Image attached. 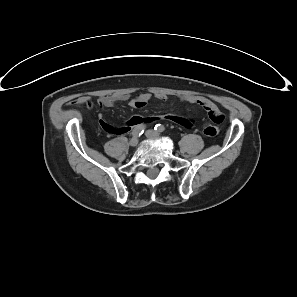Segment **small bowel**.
<instances>
[{"label":"small bowel","mask_w":297,"mask_h":297,"mask_svg":"<svg viewBox=\"0 0 297 297\" xmlns=\"http://www.w3.org/2000/svg\"><path fill=\"white\" fill-rule=\"evenodd\" d=\"M121 99L124 100L126 98L123 97ZM149 99H150V96L148 94H141L137 98H134V99L130 100L129 105L131 107H133V108L140 109V108H143V107H145L147 105ZM158 99L164 100L165 96H159ZM184 100L203 107L209 113L210 116H212V115H222L219 108L213 102H211V101H209V100H207V99H205L203 97H198V96L191 95V96H185ZM116 102H117L116 98L109 97V96H105V97H102L100 99V103L103 106H106V107H112V106L115 105ZM164 119H166L168 121H171V122L178 123L181 126H183L184 128H192L193 125H194V122H193L192 119L177 116V115H172V114L165 115ZM156 120H157V118H155V117L145 118L143 120L140 119L139 117H132L127 121L126 126L122 128V131L126 132L129 127H132V126L137 127L139 125H142L141 124L142 122L150 123V122H153V121H156ZM100 124L103 127V129L105 131L109 132V133H115L118 130L116 127L105 123L102 120L101 117H100Z\"/></svg>","instance_id":"small-bowel-1"}]
</instances>
